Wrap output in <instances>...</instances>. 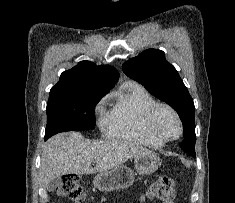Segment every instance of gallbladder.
Listing matches in <instances>:
<instances>
[{
  "instance_id": "1",
  "label": "gallbladder",
  "mask_w": 235,
  "mask_h": 203,
  "mask_svg": "<svg viewBox=\"0 0 235 203\" xmlns=\"http://www.w3.org/2000/svg\"><path fill=\"white\" fill-rule=\"evenodd\" d=\"M61 185V181L60 178H56L53 181H51L48 186H47V190L49 192L54 191L57 187H59Z\"/></svg>"
}]
</instances>
